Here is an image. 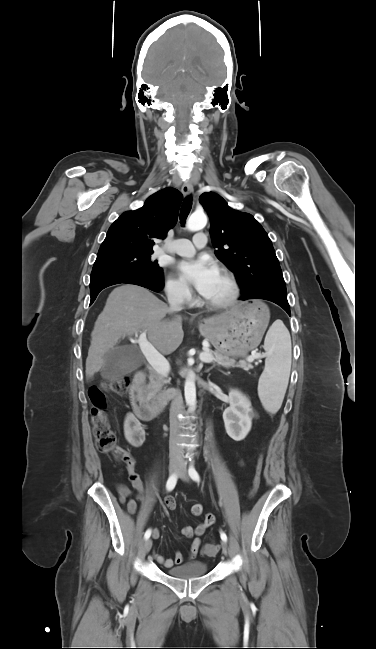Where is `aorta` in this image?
I'll return each mask as SVG.
<instances>
[{
    "mask_svg": "<svg viewBox=\"0 0 376 649\" xmlns=\"http://www.w3.org/2000/svg\"><path fill=\"white\" fill-rule=\"evenodd\" d=\"M207 224V217L203 212L193 213L187 222V228L190 231L202 230ZM185 400L189 408H195L196 405V385L192 375H190L184 386Z\"/></svg>",
    "mask_w": 376,
    "mask_h": 649,
    "instance_id": "aorta-1",
    "label": "aorta"
}]
</instances>
